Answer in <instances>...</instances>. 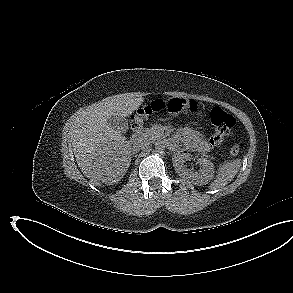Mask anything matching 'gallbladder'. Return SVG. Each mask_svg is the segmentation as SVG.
<instances>
[{
	"label": "gallbladder",
	"instance_id": "gallbladder-1",
	"mask_svg": "<svg viewBox=\"0 0 293 293\" xmlns=\"http://www.w3.org/2000/svg\"><path fill=\"white\" fill-rule=\"evenodd\" d=\"M107 123L112 129L120 133H126L128 131V122L125 117L112 116L108 118Z\"/></svg>",
	"mask_w": 293,
	"mask_h": 293
}]
</instances>
